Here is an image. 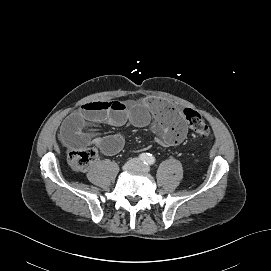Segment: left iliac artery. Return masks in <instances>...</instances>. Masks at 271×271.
<instances>
[{
  "label": "left iliac artery",
  "mask_w": 271,
  "mask_h": 271,
  "mask_svg": "<svg viewBox=\"0 0 271 271\" xmlns=\"http://www.w3.org/2000/svg\"><path fill=\"white\" fill-rule=\"evenodd\" d=\"M156 162V159L154 156H152L151 154H149L148 160H147V165H154Z\"/></svg>",
  "instance_id": "1"
}]
</instances>
